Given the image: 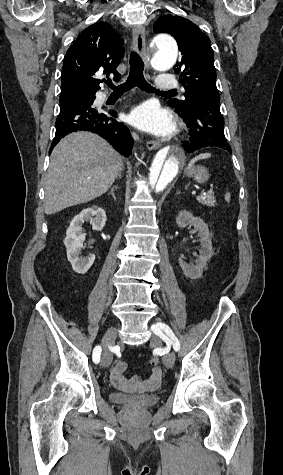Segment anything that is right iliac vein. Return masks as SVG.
Instances as JSON below:
<instances>
[{"mask_svg":"<svg viewBox=\"0 0 283 475\" xmlns=\"http://www.w3.org/2000/svg\"><path fill=\"white\" fill-rule=\"evenodd\" d=\"M116 328L115 327H110L108 330L105 332L103 340H102V345H103V354L101 357V365L103 368H108L112 362L113 356L112 353L110 352L109 347L114 343L116 339Z\"/></svg>","mask_w":283,"mask_h":475,"instance_id":"right-iliac-vein-1","label":"right iliac vein"}]
</instances>
